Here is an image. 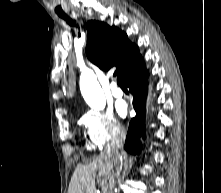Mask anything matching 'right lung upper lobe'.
<instances>
[{
  "label": "right lung upper lobe",
  "instance_id": "obj_1",
  "mask_svg": "<svg viewBox=\"0 0 221 193\" xmlns=\"http://www.w3.org/2000/svg\"><path fill=\"white\" fill-rule=\"evenodd\" d=\"M86 28L88 30L87 57L101 69L108 70L116 66L114 75L120 74L125 80L143 61L138 47L116 27L89 21Z\"/></svg>",
  "mask_w": 221,
  "mask_h": 193
}]
</instances>
